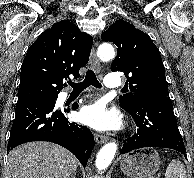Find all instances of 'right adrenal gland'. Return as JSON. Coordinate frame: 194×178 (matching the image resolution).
I'll use <instances>...</instances> for the list:
<instances>
[{
    "label": "right adrenal gland",
    "instance_id": "right-adrenal-gland-1",
    "mask_svg": "<svg viewBox=\"0 0 194 178\" xmlns=\"http://www.w3.org/2000/svg\"><path fill=\"white\" fill-rule=\"evenodd\" d=\"M76 173H74L70 178H75Z\"/></svg>",
    "mask_w": 194,
    "mask_h": 178
}]
</instances>
